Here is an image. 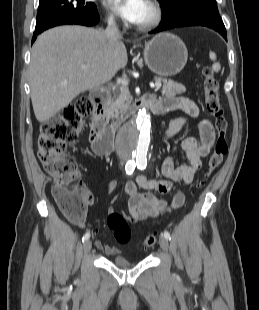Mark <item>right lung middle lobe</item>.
<instances>
[{
  "label": "right lung middle lobe",
  "mask_w": 259,
  "mask_h": 310,
  "mask_svg": "<svg viewBox=\"0 0 259 310\" xmlns=\"http://www.w3.org/2000/svg\"><path fill=\"white\" fill-rule=\"evenodd\" d=\"M96 10L87 0H39L36 28L54 18L80 19Z\"/></svg>",
  "instance_id": "obj_1"
}]
</instances>
